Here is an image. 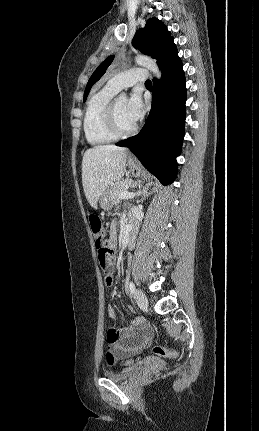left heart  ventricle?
<instances>
[{
	"label": "left heart ventricle",
	"mask_w": 259,
	"mask_h": 431,
	"mask_svg": "<svg viewBox=\"0 0 259 431\" xmlns=\"http://www.w3.org/2000/svg\"><path fill=\"white\" fill-rule=\"evenodd\" d=\"M125 107H126V99L117 98L115 101L116 118L119 126L122 129L127 130V129H130L134 125V123L131 122L127 117Z\"/></svg>",
	"instance_id": "b2bd125f"
}]
</instances>
